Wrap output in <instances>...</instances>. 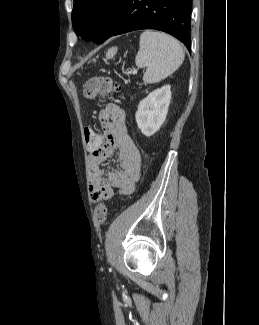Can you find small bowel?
Returning <instances> with one entry per match:
<instances>
[{
	"instance_id": "1",
	"label": "small bowel",
	"mask_w": 259,
	"mask_h": 325,
	"mask_svg": "<svg viewBox=\"0 0 259 325\" xmlns=\"http://www.w3.org/2000/svg\"><path fill=\"white\" fill-rule=\"evenodd\" d=\"M99 121L105 141L98 133L101 148L88 149L91 168L89 191L93 202L110 200L115 195V189L122 195L132 194L141 175V154L129 135L123 107L107 103L99 114ZM116 150L118 168L104 178L101 164Z\"/></svg>"
}]
</instances>
